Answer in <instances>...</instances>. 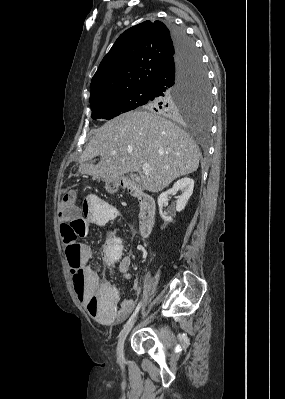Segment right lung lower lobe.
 Returning <instances> with one entry per match:
<instances>
[{
  "label": "right lung lower lobe",
  "mask_w": 285,
  "mask_h": 399,
  "mask_svg": "<svg viewBox=\"0 0 285 399\" xmlns=\"http://www.w3.org/2000/svg\"><path fill=\"white\" fill-rule=\"evenodd\" d=\"M175 47V56L166 68H164L152 81L150 85L151 93L156 97H166L167 92L178 84L184 75L187 67L196 57L197 50L194 42L187 36L183 28L173 24L169 26ZM169 113L172 102L164 100Z\"/></svg>",
  "instance_id": "obj_1"
}]
</instances>
